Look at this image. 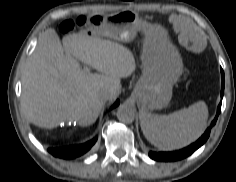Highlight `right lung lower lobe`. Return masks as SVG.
<instances>
[{"instance_id": "obj_1", "label": "right lung lower lobe", "mask_w": 236, "mask_h": 182, "mask_svg": "<svg viewBox=\"0 0 236 182\" xmlns=\"http://www.w3.org/2000/svg\"><path fill=\"white\" fill-rule=\"evenodd\" d=\"M118 104H119V101H116L113 107L118 106ZM96 140H97V137L84 144L66 146V147H61V148H50L48 150L55 157L64 158V159H72L87 152L92 147V145L96 142Z\"/></svg>"}]
</instances>
